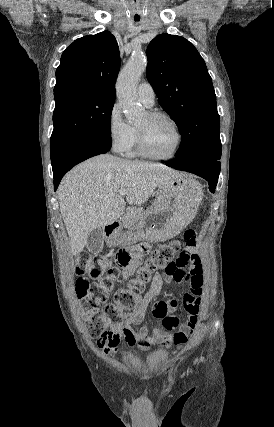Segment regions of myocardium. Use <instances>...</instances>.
I'll return each mask as SVG.
<instances>
[{
    "label": "myocardium",
    "instance_id": "obj_1",
    "mask_svg": "<svg viewBox=\"0 0 274 427\" xmlns=\"http://www.w3.org/2000/svg\"><path fill=\"white\" fill-rule=\"evenodd\" d=\"M147 115L150 119L162 118V119L167 120L172 125V127L175 131L176 144H175L173 151L166 156L153 155L147 151V149L145 147L143 135H142L141 131L136 127L135 138H136V147H137L139 155L144 157V158H147L150 160H155V161H167V160L174 158L178 154V152L181 148V145H182V141H183L182 132H181V129H180L178 123L176 122V120L171 115H169L168 113H165V112L149 111V112H147Z\"/></svg>",
    "mask_w": 274,
    "mask_h": 427
}]
</instances>
